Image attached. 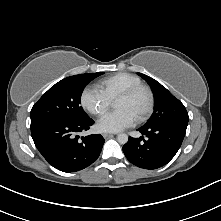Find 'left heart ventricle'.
<instances>
[{"instance_id":"obj_1","label":"left heart ventricle","mask_w":221,"mask_h":221,"mask_svg":"<svg viewBox=\"0 0 221 221\" xmlns=\"http://www.w3.org/2000/svg\"><path fill=\"white\" fill-rule=\"evenodd\" d=\"M148 105L146 92L140 91L130 98L118 99L115 102L116 109H126L137 119Z\"/></svg>"}]
</instances>
